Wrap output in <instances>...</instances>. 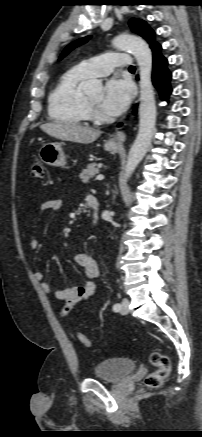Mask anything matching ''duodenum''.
I'll use <instances>...</instances> for the list:
<instances>
[{
    "instance_id": "1",
    "label": "duodenum",
    "mask_w": 202,
    "mask_h": 437,
    "mask_svg": "<svg viewBox=\"0 0 202 437\" xmlns=\"http://www.w3.org/2000/svg\"><path fill=\"white\" fill-rule=\"evenodd\" d=\"M87 205L91 211L92 224H96L98 219V209H99L98 199L93 195H89L87 197Z\"/></svg>"
}]
</instances>
